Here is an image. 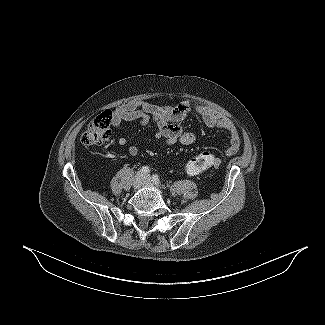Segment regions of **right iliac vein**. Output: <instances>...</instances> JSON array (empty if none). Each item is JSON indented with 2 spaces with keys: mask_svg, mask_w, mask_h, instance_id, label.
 Masks as SVG:
<instances>
[{
  "mask_svg": "<svg viewBox=\"0 0 325 325\" xmlns=\"http://www.w3.org/2000/svg\"><path fill=\"white\" fill-rule=\"evenodd\" d=\"M145 181V177L142 172H138L132 182V186L134 189H138Z\"/></svg>",
  "mask_w": 325,
  "mask_h": 325,
  "instance_id": "right-iliac-vein-1",
  "label": "right iliac vein"
}]
</instances>
